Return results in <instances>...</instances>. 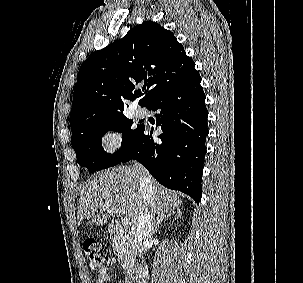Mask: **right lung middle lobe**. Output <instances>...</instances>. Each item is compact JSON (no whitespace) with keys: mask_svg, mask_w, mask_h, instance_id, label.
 <instances>
[{"mask_svg":"<svg viewBox=\"0 0 303 283\" xmlns=\"http://www.w3.org/2000/svg\"><path fill=\"white\" fill-rule=\"evenodd\" d=\"M132 123V120L121 116L79 128L72 134L71 139L79 165L88 168L89 172H94L119 164L144 128V125L140 124L132 129ZM108 130L123 132L122 146L115 154L106 153L101 146L102 136Z\"/></svg>","mask_w":303,"mask_h":283,"instance_id":"right-lung-middle-lobe-1","label":"right lung middle lobe"}]
</instances>
